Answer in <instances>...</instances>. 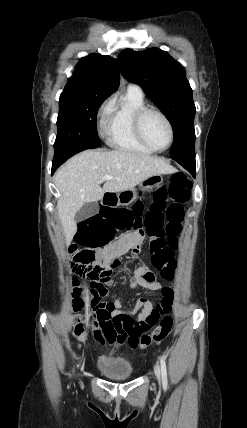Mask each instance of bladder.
Masks as SVG:
<instances>
[{"label": "bladder", "mask_w": 247, "mask_h": 428, "mask_svg": "<svg viewBox=\"0 0 247 428\" xmlns=\"http://www.w3.org/2000/svg\"><path fill=\"white\" fill-rule=\"evenodd\" d=\"M97 367L102 375L113 381H127L134 375L131 362L113 351L103 352L98 358Z\"/></svg>", "instance_id": "31cf9c89"}]
</instances>
